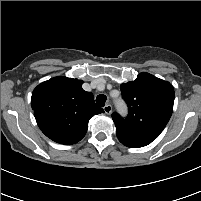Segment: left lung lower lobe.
Here are the masks:
<instances>
[{
    "label": "left lung lower lobe",
    "instance_id": "obj_1",
    "mask_svg": "<svg viewBox=\"0 0 201 201\" xmlns=\"http://www.w3.org/2000/svg\"><path fill=\"white\" fill-rule=\"evenodd\" d=\"M119 141L124 144L127 147H131V148H139V147H144L148 144H150L151 142L149 141H145V140H140V139H133V138H129V137H125L121 134H116Z\"/></svg>",
    "mask_w": 201,
    "mask_h": 201
}]
</instances>
